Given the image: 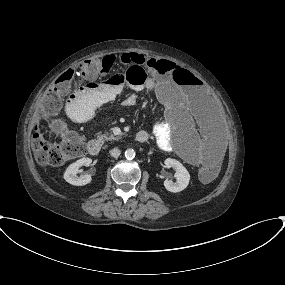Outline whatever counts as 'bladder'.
<instances>
[{
	"mask_svg": "<svg viewBox=\"0 0 285 285\" xmlns=\"http://www.w3.org/2000/svg\"><path fill=\"white\" fill-rule=\"evenodd\" d=\"M180 155H184V151L183 150H179Z\"/></svg>",
	"mask_w": 285,
	"mask_h": 285,
	"instance_id": "obj_1",
	"label": "bladder"
}]
</instances>
